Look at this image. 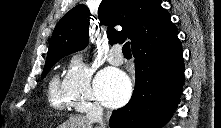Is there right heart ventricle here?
Instances as JSON below:
<instances>
[{
  "instance_id": "obj_1",
  "label": "right heart ventricle",
  "mask_w": 221,
  "mask_h": 128,
  "mask_svg": "<svg viewBox=\"0 0 221 128\" xmlns=\"http://www.w3.org/2000/svg\"><path fill=\"white\" fill-rule=\"evenodd\" d=\"M50 105L59 111H69L72 108V98L66 85L61 82L58 76H54L49 85Z\"/></svg>"
}]
</instances>
